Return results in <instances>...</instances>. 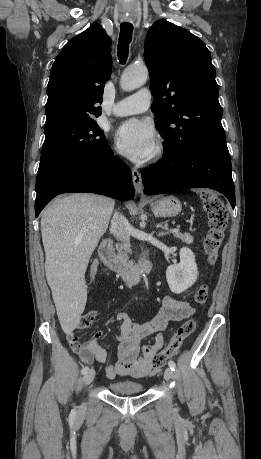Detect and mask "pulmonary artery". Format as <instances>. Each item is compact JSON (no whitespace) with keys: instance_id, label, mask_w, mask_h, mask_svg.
Segmentation results:
<instances>
[{"instance_id":"obj_1","label":"pulmonary artery","mask_w":261,"mask_h":459,"mask_svg":"<svg viewBox=\"0 0 261 459\" xmlns=\"http://www.w3.org/2000/svg\"><path fill=\"white\" fill-rule=\"evenodd\" d=\"M151 103V93L144 88L118 101L113 107L115 116H128L146 111Z\"/></svg>"}]
</instances>
